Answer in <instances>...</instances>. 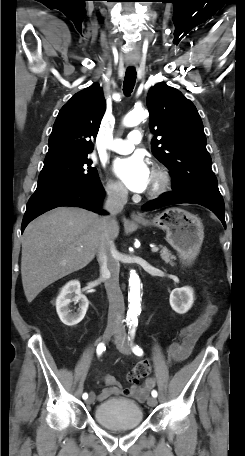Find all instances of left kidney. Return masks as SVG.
I'll return each instance as SVG.
<instances>
[{
    "label": "left kidney",
    "mask_w": 245,
    "mask_h": 456,
    "mask_svg": "<svg viewBox=\"0 0 245 456\" xmlns=\"http://www.w3.org/2000/svg\"><path fill=\"white\" fill-rule=\"evenodd\" d=\"M172 309L179 314L186 313L193 305L194 292L191 287H182L172 290L169 298Z\"/></svg>",
    "instance_id": "5707ae66"
}]
</instances>
